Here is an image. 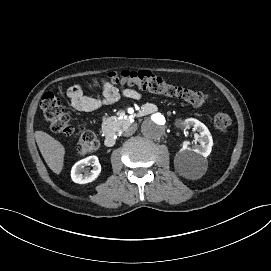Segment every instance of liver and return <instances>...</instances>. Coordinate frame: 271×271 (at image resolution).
I'll return each mask as SVG.
<instances>
[{
    "label": "liver",
    "mask_w": 271,
    "mask_h": 271,
    "mask_svg": "<svg viewBox=\"0 0 271 271\" xmlns=\"http://www.w3.org/2000/svg\"><path fill=\"white\" fill-rule=\"evenodd\" d=\"M35 140L49 168L54 173L59 174L63 167V147L59 142L43 132H36Z\"/></svg>",
    "instance_id": "liver-1"
}]
</instances>
